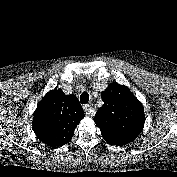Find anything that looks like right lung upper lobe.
I'll list each match as a JSON object with an SVG mask.
<instances>
[{
  "instance_id": "cb5924a9",
  "label": "right lung upper lobe",
  "mask_w": 177,
  "mask_h": 177,
  "mask_svg": "<svg viewBox=\"0 0 177 177\" xmlns=\"http://www.w3.org/2000/svg\"><path fill=\"white\" fill-rule=\"evenodd\" d=\"M84 118V111L74 95L61 89L48 92L37 105L33 130L37 138L50 147L67 144L74 130Z\"/></svg>"
}]
</instances>
